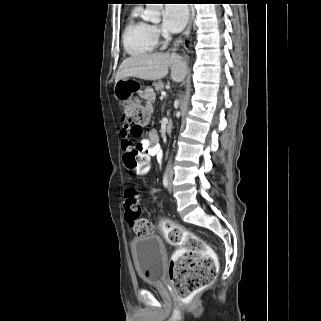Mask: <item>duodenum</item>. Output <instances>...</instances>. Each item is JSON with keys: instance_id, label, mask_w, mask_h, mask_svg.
I'll use <instances>...</instances> for the list:
<instances>
[{"instance_id": "duodenum-1", "label": "duodenum", "mask_w": 321, "mask_h": 321, "mask_svg": "<svg viewBox=\"0 0 321 321\" xmlns=\"http://www.w3.org/2000/svg\"><path fill=\"white\" fill-rule=\"evenodd\" d=\"M165 129L168 134H170L173 130V123L171 120H168L165 124Z\"/></svg>"}]
</instances>
